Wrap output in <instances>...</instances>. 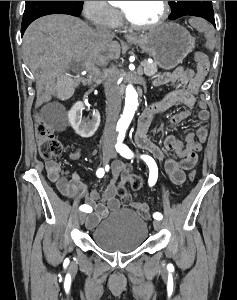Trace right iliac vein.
Masks as SVG:
<instances>
[{"instance_id": "right-iliac-vein-1", "label": "right iliac vein", "mask_w": 237, "mask_h": 300, "mask_svg": "<svg viewBox=\"0 0 237 300\" xmlns=\"http://www.w3.org/2000/svg\"><path fill=\"white\" fill-rule=\"evenodd\" d=\"M114 150L109 148V147H106L103 151V161L104 163H107L109 161V159L111 158V154ZM86 219V214L85 213H80L79 214V221L81 224L84 223Z\"/></svg>"}]
</instances>
